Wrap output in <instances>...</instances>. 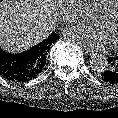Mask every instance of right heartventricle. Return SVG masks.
Segmentation results:
<instances>
[{"instance_id": "right-heart-ventricle-1", "label": "right heart ventricle", "mask_w": 118, "mask_h": 118, "mask_svg": "<svg viewBox=\"0 0 118 118\" xmlns=\"http://www.w3.org/2000/svg\"><path fill=\"white\" fill-rule=\"evenodd\" d=\"M112 0H94V2L99 5L101 8L107 5Z\"/></svg>"}]
</instances>
